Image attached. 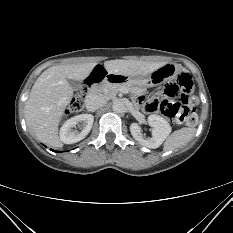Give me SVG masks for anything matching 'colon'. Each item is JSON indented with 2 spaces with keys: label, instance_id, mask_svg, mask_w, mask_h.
Wrapping results in <instances>:
<instances>
[{
  "label": "colon",
  "instance_id": "5ec220e1",
  "mask_svg": "<svg viewBox=\"0 0 233 233\" xmlns=\"http://www.w3.org/2000/svg\"><path fill=\"white\" fill-rule=\"evenodd\" d=\"M193 83L188 75L182 74L178 79V84L168 83L164 87L165 97L157 95L150 97L145 103V110L153 113L160 112L168 120L194 126L197 123L195 112L196 98L192 95ZM87 89L83 87L71 100L69 111L77 112L84 108Z\"/></svg>",
  "mask_w": 233,
  "mask_h": 233
}]
</instances>
